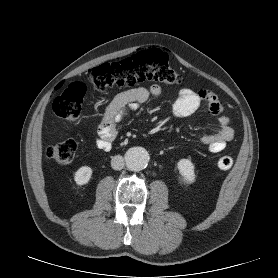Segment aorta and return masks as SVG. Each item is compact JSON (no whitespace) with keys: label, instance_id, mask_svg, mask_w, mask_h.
<instances>
[{"label":"aorta","instance_id":"aorta-1","mask_svg":"<svg viewBox=\"0 0 278 278\" xmlns=\"http://www.w3.org/2000/svg\"><path fill=\"white\" fill-rule=\"evenodd\" d=\"M125 162L128 169L132 171H141L148 165L149 154L142 147H133L126 152Z\"/></svg>","mask_w":278,"mask_h":278}]
</instances>
